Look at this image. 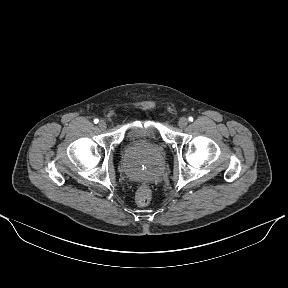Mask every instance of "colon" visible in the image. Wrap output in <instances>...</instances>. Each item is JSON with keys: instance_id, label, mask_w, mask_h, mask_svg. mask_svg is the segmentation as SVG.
<instances>
[{"instance_id": "1", "label": "colon", "mask_w": 288, "mask_h": 288, "mask_svg": "<svg viewBox=\"0 0 288 288\" xmlns=\"http://www.w3.org/2000/svg\"><path fill=\"white\" fill-rule=\"evenodd\" d=\"M151 200V190L147 185H142L136 192L135 201L139 206H146Z\"/></svg>"}]
</instances>
